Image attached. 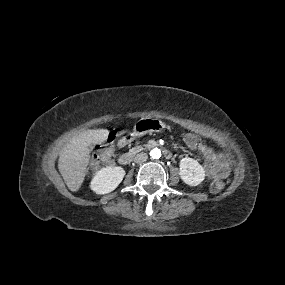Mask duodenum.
Wrapping results in <instances>:
<instances>
[{
  "label": "duodenum",
  "mask_w": 285,
  "mask_h": 285,
  "mask_svg": "<svg viewBox=\"0 0 285 285\" xmlns=\"http://www.w3.org/2000/svg\"><path fill=\"white\" fill-rule=\"evenodd\" d=\"M162 152L164 154V156L167 158V159H171L172 158V152L166 148H163L162 149ZM138 153V149H133V150H130L128 152H125L123 154L120 155L119 157V162L121 164H128L132 161V159L134 158V156Z\"/></svg>",
  "instance_id": "410a0bca"
}]
</instances>
